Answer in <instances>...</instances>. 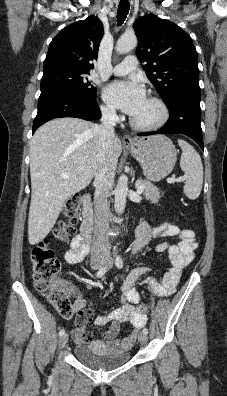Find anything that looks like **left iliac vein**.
Returning a JSON list of instances; mask_svg holds the SVG:
<instances>
[{
	"instance_id": "4c4485c4",
	"label": "left iliac vein",
	"mask_w": 227,
	"mask_h": 396,
	"mask_svg": "<svg viewBox=\"0 0 227 396\" xmlns=\"http://www.w3.org/2000/svg\"><path fill=\"white\" fill-rule=\"evenodd\" d=\"M107 263H108V266H109V267H112V265H113V260H112V259H109ZM147 339H148L147 334H145L144 332H141V333L139 334V336H138V340H139V342H140L141 344H145V343L147 342Z\"/></svg>"
}]
</instances>
